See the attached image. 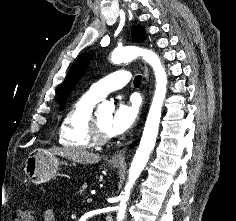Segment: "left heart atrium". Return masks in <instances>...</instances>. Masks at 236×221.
Returning <instances> with one entry per match:
<instances>
[{"label": "left heart atrium", "mask_w": 236, "mask_h": 221, "mask_svg": "<svg viewBox=\"0 0 236 221\" xmlns=\"http://www.w3.org/2000/svg\"><path fill=\"white\" fill-rule=\"evenodd\" d=\"M137 115L138 104L134 100L119 102L108 124L109 135L115 136L129 130L136 121Z\"/></svg>", "instance_id": "obj_1"}]
</instances>
